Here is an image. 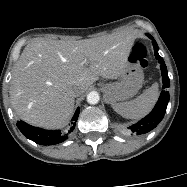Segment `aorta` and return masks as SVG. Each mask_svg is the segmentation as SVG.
Returning <instances> with one entry per match:
<instances>
[{
  "instance_id": "762f6f07",
  "label": "aorta",
  "mask_w": 187,
  "mask_h": 187,
  "mask_svg": "<svg viewBox=\"0 0 187 187\" xmlns=\"http://www.w3.org/2000/svg\"><path fill=\"white\" fill-rule=\"evenodd\" d=\"M100 100V96L97 92H90L88 95H87V102L89 104H97Z\"/></svg>"
}]
</instances>
